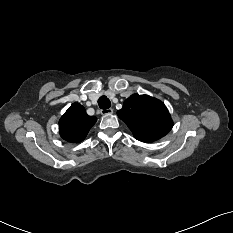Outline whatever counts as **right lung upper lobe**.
Segmentation results:
<instances>
[{
    "mask_svg": "<svg viewBox=\"0 0 233 233\" xmlns=\"http://www.w3.org/2000/svg\"><path fill=\"white\" fill-rule=\"evenodd\" d=\"M96 121V117L87 115L82 105L73 103L59 121L60 135L68 142H81Z\"/></svg>",
    "mask_w": 233,
    "mask_h": 233,
    "instance_id": "1",
    "label": "right lung upper lobe"
}]
</instances>
